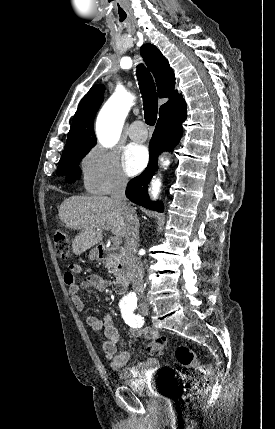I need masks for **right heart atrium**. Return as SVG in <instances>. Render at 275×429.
Wrapping results in <instances>:
<instances>
[{
  "mask_svg": "<svg viewBox=\"0 0 275 429\" xmlns=\"http://www.w3.org/2000/svg\"><path fill=\"white\" fill-rule=\"evenodd\" d=\"M85 189L97 195L123 189L128 183L118 155L102 146L89 149L80 162Z\"/></svg>",
  "mask_w": 275,
  "mask_h": 429,
  "instance_id": "obj_1",
  "label": "right heart atrium"
}]
</instances>
